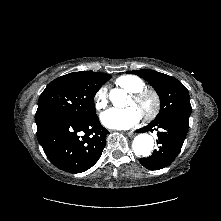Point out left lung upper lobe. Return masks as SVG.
Wrapping results in <instances>:
<instances>
[{"label": "left lung upper lobe", "instance_id": "1", "mask_svg": "<svg viewBox=\"0 0 221 221\" xmlns=\"http://www.w3.org/2000/svg\"><path fill=\"white\" fill-rule=\"evenodd\" d=\"M148 81L160 98V112L152 122L175 115L190 116L192 107L187 88L176 78L150 69L128 71Z\"/></svg>", "mask_w": 221, "mask_h": 221}]
</instances>
